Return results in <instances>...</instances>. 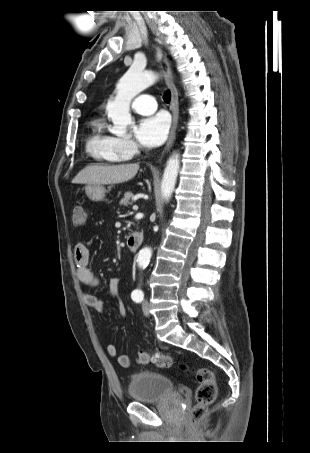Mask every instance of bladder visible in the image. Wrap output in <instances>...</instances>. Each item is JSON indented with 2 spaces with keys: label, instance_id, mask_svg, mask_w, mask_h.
<instances>
[{
  "label": "bladder",
  "instance_id": "1",
  "mask_svg": "<svg viewBox=\"0 0 310 453\" xmlns=\"http://www.w3.org/2000/svg\"><path fill=\"white\" fill-rule=\"evenodd\" d=\"M175 393L173 382L157 372H137L131 376L128 383V394L134 402L162 401L174 396Z\"/></svg>",
  "mask_w": 310,
  "mask_h": 453
}]
</instances>
